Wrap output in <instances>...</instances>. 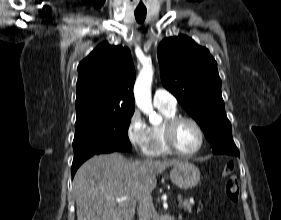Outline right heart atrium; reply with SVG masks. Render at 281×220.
<instances>
[{"label":"right heart atrium","mask_w":281,"mask_h":220,"mask_svg":"<svg viewBox=\"0 0 281 220\" xmlns=\"http://www.w3.org/2000/svg\"><path fill=\"white\" fill-rule=\"evenodd\" d=\"M126 135L134 149L145 153L149 143V127L138 110L133 111L129 117Z\"/></svg>","instance_id":"right-heart-atrium-1"}]
</instances>
